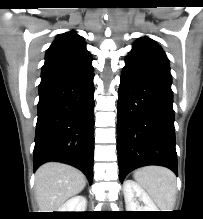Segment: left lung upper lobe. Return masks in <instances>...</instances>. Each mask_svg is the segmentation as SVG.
Here are the masks:
<instances>
[{"mask_svg": "<svg viewBox=\"0 0 203 219\" xmlns=\"http://www.w3.org/2000/svg\"><path fill=\"white\" fill-rule=\"evenodd\" d=\"M127 58L138 59L170 70L166 54L157 43L148 37H141L134 42Z\"/></svg>", "mask_w": 203, "mask_h": 219, "instance_id": "obj_1", "label": "left lung upper lobe"}]
</instances>
